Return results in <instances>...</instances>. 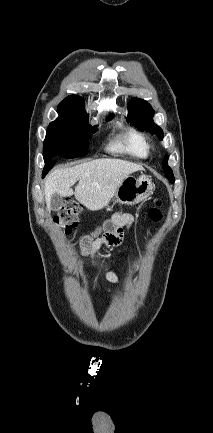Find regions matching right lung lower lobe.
Segmentation results:
<instances>
[{"label": "right lung lower lobe", "mask_w": 213, "mask_h": 433, "mask_svg": "<svg viewBox=\"0 0 213 433\" xmlns=\"http://www.w3.org/2000/svg\"><path fill=\"white\" fill-rule=\"evenodd\" d=\"M53 165H54V159L45 161V167L43 169L42 177H44L49 172V170L53 167Z\"/></svg>", "instance_id": "98d812e1"}]
</instances>
